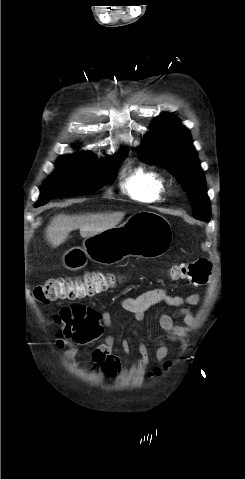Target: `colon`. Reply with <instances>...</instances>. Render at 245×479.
<instances>
[{
  "instance_id": "1",
  "label": "colon",
  "mask_w": 245,
  "mask_h": 479,
  "mask_svg": "<svg viewBox=\"0 0 245 479\" xmlns=\"http://www.w3.org/2000/svg\"><path fill=\"white\" fill-rule=\"evenodd\" d=\"M212 265L206 258L180 263L172 267L174 279L186 280L194 285H205L210 279ZM117 277L108 272L86 271L77 276L51 278L32 289V297L40 303L58 299H80L100 294L117 283ZM89 308L75 304L60 310L56 321L61 325L59 337L79 339L89 317Z\"/></svg>"
}]
</instances>
